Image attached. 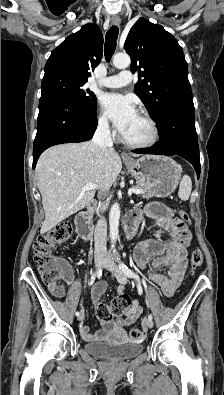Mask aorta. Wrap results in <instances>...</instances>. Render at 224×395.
Masks as SVG:
<instances>
[{
  "label": "aorta",
  "instance_id": "1",
  "mask_svg": "<svg viewBox=\"0 0 224 395\" xmlns=\"http://www.w3.org/2000/svg\"><path fill=\"white\" fill-rule=\"evenodd\" d=\"M131 59L127 54H116L113 58V65L118 69H125L130 66ZM120 207L118 203H114L109 213V229L111 247H114L119 234Z\"/></svg>",
  "mask_w": 224,
  "mask_h": 395
}]
</instances>
